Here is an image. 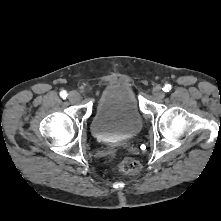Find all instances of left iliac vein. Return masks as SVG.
Returning a JSON list of instances; mask_svg holds the SVG:
<instances>
[{
  "mask_svg": "<svg viewBox=\"0 0 221 221\" xmlns=\"http://www.w3.org/2000/svg\"><path fill=\"white\" fill-rule=\"evenodd\" d=\"M152 93H153V96L155 98H157V99H162L164 97V95H165L163 90H162V88L160 86H155L153 88Z\"/></svg>",
  "mask_w": 221,
  "mask_h": 221,
  "instance_id": "left-iliac-vein-1",
  "label": "left iliac vein"
}]
</instances>
